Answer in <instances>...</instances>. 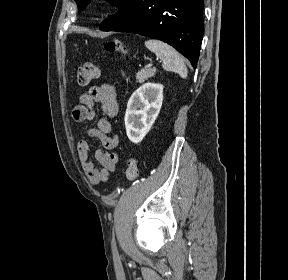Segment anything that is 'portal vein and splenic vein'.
Segmentation results:
<instances>
[{"instance_id": "1", "label": "portal vein and splenic vein", "mask_w": 288, "mask_h": 280, "mask_svg": "<svg viewBox=\"0 0 288 280\" xmlns=\"http://www.w3.org/2000/svg\"><path fill=\"white\" fill-rule=\"evenodd\" d=\"M148 66L151 67V66H153V64H149Z\"/></svg>"}]
</instances>
